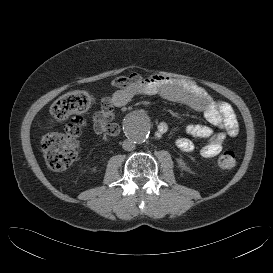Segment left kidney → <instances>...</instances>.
Here are the masks:
<instances>
[{
	"mask_svg": "<svg viewBox=\"0 0 273 273\" xmlns=\"http://www.w3.org/2000/svg\"><path fill=\"white\" fill-rule=\"evenodd\" d=\"M177 163L181 168H186V163L183 159H178Z\"/></svg>",
	"mask_w": 273,
	"mask_h": 273,
	"instance_id": "5707ae66",
	"label": "left kidney"
}]
</instances>
